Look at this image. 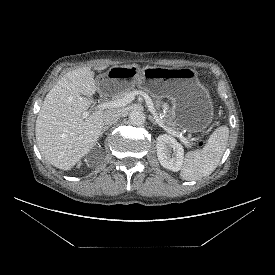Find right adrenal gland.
Instances as JSON below:
<instances>
[{"label": "right adrenal gland", "mask_w": 275, "mask_h": 275, "mask_svg": "<svg viewBox=\"0 0 275 275\" xmlns=\"http://www.w3.org/2000/svg\"><path fill=\"white\" fill-rule=\"evenodd\" d=\"M109 127L108 126H104L102 127V130H101V136L103 135V133L108 129Z\"/></svg>", "instance_id": "right-adrenal-gland-1"}]
</instances>
